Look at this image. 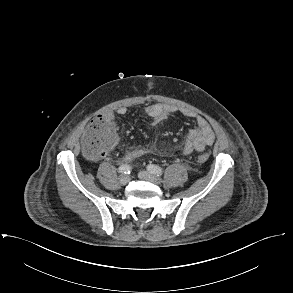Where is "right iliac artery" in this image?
Listing matches in <instances>:
<instances>
[{"instance_id":"1","label":"right iliac artery","mask_w":293,"mask_h":293,"mask_svg":"<svg viewBox=\"0 0 293 293\" xmlns=\"http://www.w3.org/2000/svg\"><path fill=\"white\" fill-rule=\"evenodd\" d=\"M131 171V167L127 164H122L120 167H119V172L120 173H125V174H129Z\"/></svg>"}]
</instances>
